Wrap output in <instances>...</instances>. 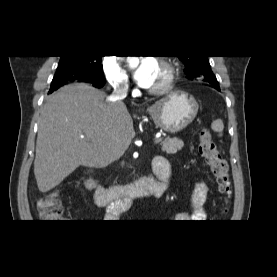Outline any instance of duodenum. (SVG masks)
Returning <instances> with one entry per match:
<instances>
[{"instance_id":"410a0bca","label":"duodenum","mask_w":277,"mask_h":277,"mask_svg":"<svg viewBox=\"0 0 277 277\" xmlns=\"http://www.w3.org/2000/svg\"><path fill=\"white\" fill-rule=\"evenodd\" d=\"M154 162L160 168L158 180L142 178L132 184L106 189L101 186L89 174H85L84 184L86 188L94 193L96 204L100 207L110 206L114 213L130 207L131 201L137 198H144L150 195L161 196L162 185L168 180L170 167L168 163L160 158H154Z\"/></svg>"}]
</instances>
